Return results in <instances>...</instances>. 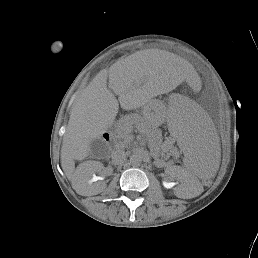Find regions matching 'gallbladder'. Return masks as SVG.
Listing matches in <instances>:
<instances>
[{
  "label": "gallbladder",
  "mask_w": 258,
  "mask_h": 258,
  "mask_svg": "<svg viewBox=\"0 0 258 258\" xmlns=\"http://www.w3.org/2000/svg\"><path fill=\"white\" fill-rule=\"evenodd\" d=\"M102 148V144L99 140V138H94L89 143V149L92 153H95L98 149Z\"/></svg>",
  "instance_id": "bac80fb5"
}]
</instances>
